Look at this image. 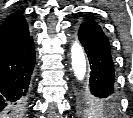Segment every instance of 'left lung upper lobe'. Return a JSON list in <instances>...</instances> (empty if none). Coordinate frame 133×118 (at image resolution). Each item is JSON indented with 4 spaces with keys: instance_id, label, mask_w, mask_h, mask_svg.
<instances>
[{
    "instance_id": "5c2ea615",
    "label": "left lung upper lobe",
    "mask_w": 133,
    "mask_h": 118,
    "mask_svg": "<svg viewBox=\"0 0 133 118\" xmlns=\"http://www.w3.org/2000/svg\"><path fill=\"white\" fill-rule=\"evenodd\" d=\"M84 25L94 26L101 29L96 21L91 18H84ZM102 30V29H101ZM117 106V102L112 99H96L87 89L81 88L77 94V110L80 115L93 116L100 112H111Z\"/></svg>"
}]
</instances>
